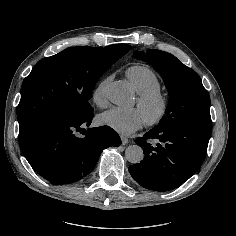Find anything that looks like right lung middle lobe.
I'll return each instance as SVG.
<instances>
[{"instance_id": "right-lung-middle-lobe-1", "label": "right lung middle lobe", "mask_w": 236, "mask_h": 236, "mask_svg": "<svg viewBox=\"0 0 236 236\" xmlns=\"http://www.w3.org/2000/svg\"><path fill=\"white\" fill-rule=\"evenodd\" d=\"M130 49L126 44L72 47L40 60L22 83L19 131L47 117L80 118L92 113L88 101L96 82Z\"/></svg>"}]
</instances>
